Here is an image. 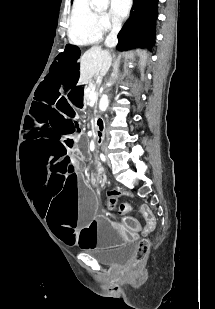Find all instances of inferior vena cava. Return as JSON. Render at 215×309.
Wrapping results in <instances>:
<instances>
[{
	"label": "inferior vena cava",
	"mask_w": 215,
	"mask_h": 309,
	"mask_svg": "<svg viewBox=\"0 0 215 309\" xmlns=\"http://www.w3.org/2000/svg\"><path fill=\"white\" fill-rule=\"evenodd\" d=\"M122 22L120 18H112V28L111 32H109L108 36L105 38V44L106 46H116L118 42L117 34L119 30H121ZM106 136H107V142L109 140V130L106 128Z\"/></svg>",
	"instance_id": "inferior-vena-cava-1"
}]
</instances>
